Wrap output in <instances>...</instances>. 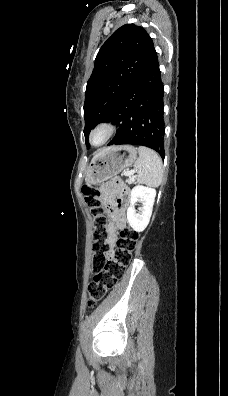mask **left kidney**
I'll return each mask as SVG.
<instances>
[{
  "mask_svg": "<svg viewBox=\"0 0 228 396\" xmlns=\"http://www.w3.org/2000/svg\"><path fill=\"white\" fill-rule=\"evenodd\" d=\"M130 206L127 209V220L129 225L136 232H142L149 224L152 215L153 205L156 197L154 188L137 185L131 190ZM137 202L142 203L137 213L135 205Z\"/></svg>",
  "mask_w": 228,
  "mask_h": 396,
  "instance_id": "1",
  "label": "left kidney"
}]
</instances>
